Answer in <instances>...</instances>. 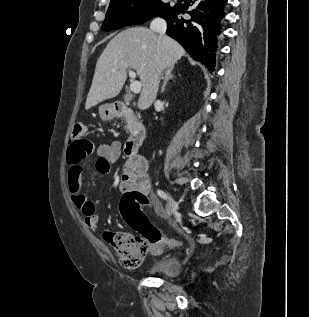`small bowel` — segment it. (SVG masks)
<instances>
[{
	"label": "small bowel",
	"mask_w": 309,
	"mask_h": 317,
	"mask_svg": "<svg viewBox=\"0 0 309 317\" xmlns=\"http://www.w3.org/2000/svg\"><path fill=\"white\" fill-rule=\"evenodd\" d=\"M90 141L82 142L78 146L77 152L81 155L80 159L76 161L68 162L67 170V186L71 195L73 204L84 215L85 225L95 231L99 224L98 209L92 201L88 200L85 193L82 190V173H83V161L91 154L93 150L88 151V144ZM97 158L95 160V170L99 174L106 175L110 172V165L118 161L122 155V146L119 141H113L111 143L100 144L97 149ZM119 190L123 193L127 192H139L144 195L150 193V179L148 175V162L141 156L136 155L128 157L127 161L122 167L121 175L119 178ZM155 208L157 211H161L158 202L153 199ZM163 248H153L154 253H160Z\"/></svg>",
	"instance_id": "1"
}]
</instances>
